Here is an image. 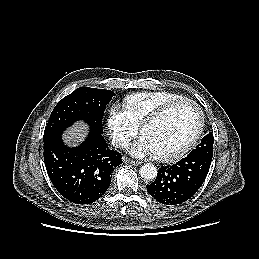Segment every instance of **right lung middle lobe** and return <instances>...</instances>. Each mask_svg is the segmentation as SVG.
I'll return each mask as SVG.
<instances>
[{"label": "right lung middle lobe", "mask_w": 259, "mask_h": 259, "mask_svg": "<svg viewBox=\"0 0 259 259\" xmlns=\"http://www.w3.org/2000/svg\"><path fill=\"white\" fill-rule=\"evenodd\" d=\"M114 92L80 87L61 99L53 109L44 131L43 140L61 133L77 120L87 122L91 130L102 133V119L106 105Z\"/></svg>", "instance_id": "right-lung-middle-lobe-1"}]
</instances>
